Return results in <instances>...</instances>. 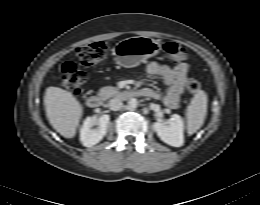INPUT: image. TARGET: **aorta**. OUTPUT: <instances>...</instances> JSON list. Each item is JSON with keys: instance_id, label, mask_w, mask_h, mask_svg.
I'll list each match as a JSON object with an SVG mask.
<instances>
[{"instance_id": "aorta-1", "label": "aorta", "mask_w": 260, "mask_h": 205, "mask_svg": "<svg viewBox=\"0 0 260 205\" xmlns=\"http://www.w3.org/2000/svg\"><path fill=\"white\" fill-rule=\"evenodd\" d=\"M128 105H129V107L132 108V109L136 108L137 105H138L137 99L131 98V99L128 101Z\"/></svg>"}]
</instances>
